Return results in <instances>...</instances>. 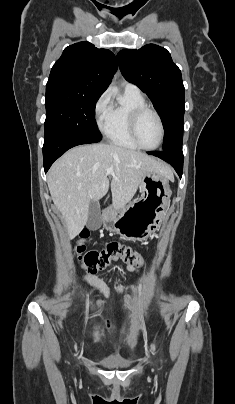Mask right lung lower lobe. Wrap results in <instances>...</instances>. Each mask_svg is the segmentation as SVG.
I'll use <instances>...</instances> for the list:
<instances>
[{"instance_id":"right-lung-lower-lobe-1","label":"right lung lower lobe","mask_w":235,"mask_h":404,"mask_svg":"<svg viewBox=\"0 0 235 404\" xmlns=\"http://www.w3.org/2000/svg\"><path fill=\"white\" fill-rule=\"evenodd\" d=\"M89 143H93V141L74 133H61L45 138L43 146L45 173L48 171L52 163L68 149L77 145Z\"/></svg>"}]
</instances>
